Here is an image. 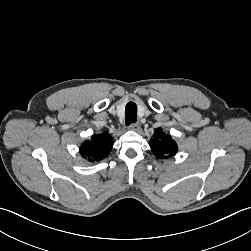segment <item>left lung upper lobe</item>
I'll use <instances>...</instances> for the list:
<instances>
[{
	"instance_id": "obj_1",
	"label": "left lung upper lobe",
	"mask_w": 251,
	"mask_h": 251,
	"mask_svg": "<svg viewBox=\"0 0 251 251\" xmlns=\"http://www.w3.org/2000/svg\"><path fill=\"white\" fill-rule=\"evenodd\" d=\"M154 155L158 158L170 157L176 154L177 144L168 135H165L161 128H158L149 142Z\"/></svg>"
}]
</instances>
